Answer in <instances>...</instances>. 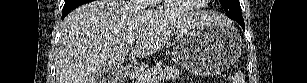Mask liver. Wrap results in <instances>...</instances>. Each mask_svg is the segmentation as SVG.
<instances>
[{
	"mask_svg": "<svg viewBox=\"0 0 307 83\" xmlns=\"http://www.w3.org/2000/svg\"><path fill=\"white\" fill-rule=\"evenodd\" d=\"M211 12L171 15L147 11L122 0L84 4L63 20L56 50L57 83H97L104 67L120 69L131 46L136 57L159 51L174 35L190 28L217 23ZM117 83V82H114Z\"/></svg>",
	"mask_w": 307,
	"mask_h": 83,
	"instance_id": "obj_1",
	"label": "liver"
}]
</instances>
